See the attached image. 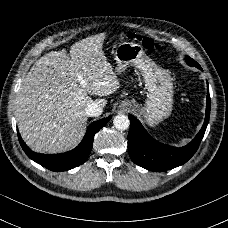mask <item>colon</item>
I'll return each instance as SVG.
<instances>
[{"label":"colon","instance_id":"colon-1","mask_svg":"<svg viewBox=\"0 0 228 228\" xmlns=\"http://www.w3.org/2000/svg\"><path fill=\"white\" fill-rule=\"evenodd\" d=\"M127 37L129 39H132V40L138 42L145 49H154V48L157 49V48H159V45L157 43H155L154 40H152L150 38H146V37H143V36L137 35V34H129Z\"/></svg>","mask_w":228,"mask_h":228}]
</instances>
